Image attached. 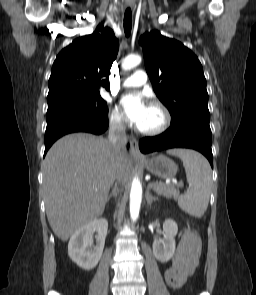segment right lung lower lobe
Returning a JSON list of instances; mask_svg holds the SVG:
<instances>
[{"mask_svg":"<svg viewBox=\"0 0 256 295\" xmlns=\"http://www.w3.org/2000/svg\"><path fill=\"white\" fill-rule=\"evenodd\" d=\"M107 113H82L76 111L47 112L45 132V152L60 137L72 132L101 134L108 128Z\"/></svg>","mask_w":256,"mask_h":295,"instance_id":"obj_1","label":"right lung lower lobe"}]
</instances>
